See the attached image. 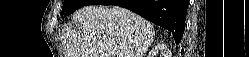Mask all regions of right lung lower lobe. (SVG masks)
Segmentation results:
<instances>
[{
	"label": "right lung lower lobe",
	"mask_w": 249,
	"mask_h": 57,
	"mask_svg": "<svg viewBox=\"0 0 249 57\" xmlns=\"http://www.w3.org/2000/svg\"><path fill=\"white\" fill-rule=\"evenodd\" d=\"M93 3L127 8L171 31L176 43H180L182 39L187 0H94Z\"/></svg>",
	"instance_id": "98d812e1"
}]
</instances>
